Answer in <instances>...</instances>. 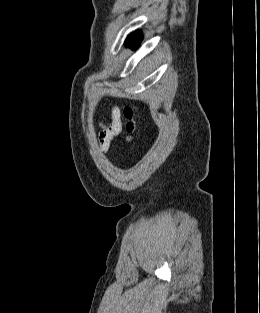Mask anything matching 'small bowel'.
Listing matches in <instances>:
<instances>
[{"label": "small bowel", "instance_id": "1", "mask_svg": "<svg viewBox=\"0 0 260 313\" xmlns=\"http://www.w3.org/2000/svg\"><path fill=\"white\" fill-rule=\"evenodd\" d=\"M111 118V123L103 126L99 136V147L103 152L108 151L111 140L121 132L120 111L117 106L112 109Z\"/></svg>", "mask_w": 260, "mask_h": 313}]
</instances>
